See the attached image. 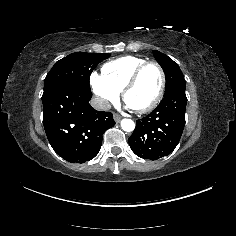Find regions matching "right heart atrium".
Masks as SVG:
<instances>
[{
    "mask_svg": "<svg viewBox=\"0 0 236 236\" xmlns=\"http://www.w3.org/2000/svg\"><path fill=\"white\" fill-rule=\"evenodd\" d=\"M90 87L102 108H108L119 98V93L112 89L104 80L102 75L93 71L90 75Z\"/></svg>",
    "mask_w": 236,
    "mask_h": 236,
    "instance_id": "right-heart-atrium-1",
    "label": "right heart atrium"
}]
</instances>
